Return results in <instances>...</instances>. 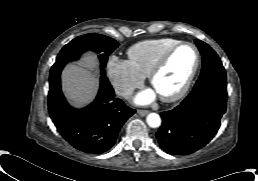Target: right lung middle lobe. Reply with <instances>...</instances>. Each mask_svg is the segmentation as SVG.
<instances>
[{
    "instance_id": "obj_1",
    "label": "right lung middle lobe",
    "mask_w": 258,
    "mask_h": 181,
    "mask_svg": "<svg viewBox=\"0 0 258 181\" xmlns=\"http://www.w3.org/2000/svg\"><path fill=\"white\" fill-rule=\"evenodd\" d=\"M118 46L119 43L108 36L101 34L82 35L76 37L62 48L57 56L56 63L66 64L69 61L77 60L83 52L91 50L98 54L102 67L101 74L103 75L105 74L103 68L106 66L109 54Z\"/></svg>"
}]
</instances>
